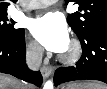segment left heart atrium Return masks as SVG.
Wrapping results in <instances>:
<instances>
[{
    "instance_id": "1",
    "label": "left heart atrium",
    "mask_w": 107,
    "mask_h": 89,
    "mask_svg": "<svg viewBox=\"0 0 107 89\" xmlns=\"http://www.w3.org/2000/svg\"><path fill=\"white\" fill-rule=\"evenodd\" d=\"M31 32L37 41L52 52H64L69 46V33L65 21L55 13L36 18Z\"/></svg>"
}]
</instances>
